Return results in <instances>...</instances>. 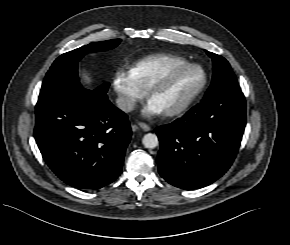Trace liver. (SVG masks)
<instances>
[{
    "label": "liver",
    "mask_w": 290,
    "mask_h": 245,
    "mask_svg": "<svg viewBox=\"0 0 290 245\" xmlns=\"http://www.w3.org/2000/svg\"><path fill=\"white\" fill-rule=\"evenodd\" d=\"M81 82L87 88H90L92 86L91 79L87 77L86 75H81Z\"/></svg>",
    "instance_id": "1"
}]
</instances>
